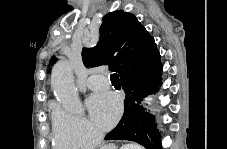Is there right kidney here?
<instances>
[{
  "instance_id": "right-kidney-1",
  "label": "right kidney",
  "mask_w": 227,
  "mask_h": 149,
  "mask_svg": "<svg viewBox=\"0 0 227 149\" xmlns=\"http://www.w3.org/2000/svg\"><path fill=\"white\" fill-rule=\"evenodd\" d=\"M125 149H136L134 145H128L125 147Z\"/></svg>"
}]
</instances>
